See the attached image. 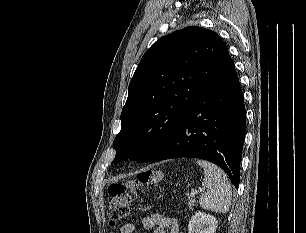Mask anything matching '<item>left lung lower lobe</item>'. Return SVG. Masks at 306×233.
Segmentation results:
<instances>
[{
	"label": "left lung lower lobe",
	"instance_id": "obj_1",
	"mask_svg": "<svg viewBox=\"0 0 306 233\" xmlns=\"http://www.w3.org/2000/svg\"><path fill=\"white\" fill-rule=\"evenodd\" d=\"M244 137V98L229 56L149 163L180 157L205 159L224 169L238 188Z\"/></svg>",
	"mask_w": 306,
	"mask_h": 233
}]
</instances>
